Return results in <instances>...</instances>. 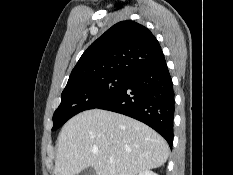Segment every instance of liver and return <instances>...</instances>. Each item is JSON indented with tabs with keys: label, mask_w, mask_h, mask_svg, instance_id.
I'll return each instance as SVG.
<instances>
[{
	"label": "liver",
	"mask_w": 233,
	"mask_h": 175,
	"mask_svg": "<svg viewBox=\"0 0 233 175\" xmlns=\"http://www.w3.org/2000/svg\"><path fill=\"white\" fill-rule=\"evenodd\" d=\"M167 142L146 124L101 109L72 117L58 137L55 175H77L93 167L96 175H137L162 166ZM113 158L114 162L109 163Z\"/></svg>",
	"instance_id": "obj_1"
}]
</instances>
